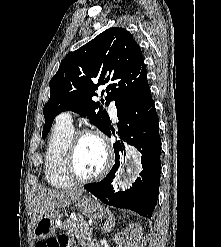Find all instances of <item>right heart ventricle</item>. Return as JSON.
<instances>
[{
  "mask_svg": "<svg viewBox=\"0 0 221 247\" xmlns=\"http://www.w3.org/2000/svg\"><path fill=\"white\" fill-rule=\"evenodd\" d=\"M74 134L72 125L57 121L46 146L44 170L47 182L56 188L73 186L65 169V158L70 140Z\"/></svg>",
  "mask_w": 221,
  "mask_h": 247,
  "instance_id": "right-heart-ventricle-1",
  "label": "right heart ventricle"
}]
</instances>
